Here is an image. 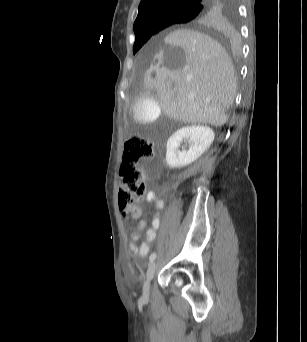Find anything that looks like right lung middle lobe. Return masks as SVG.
I'll list each match as a JSON object with an SVG mask.
<instances>
[{"label": "right lung middle lobe", "instance_id": "1", "mask_svg": "<svg viewBox=\"0 0 307 342\" xmlns=\"http://www.w3.org/2000/svg\"><path fill=\"white\" fill-rule=\"evenodd\" d=\"M197 14L198 10L196 9H184L167 14L159 26L135 34L133 53L135 54L155 33L173 24L188 22L195 18Z\"/></svg>", "mask_w": 307, "mask_h": 342}]
</instances>
